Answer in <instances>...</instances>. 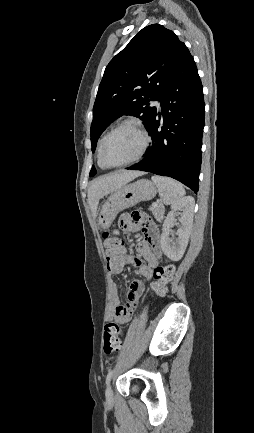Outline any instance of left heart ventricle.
<instances>
[{
	"label": "left heart ventricle",
	"mask_w": 254,
	"mask_h": 433,
	"mask_svg": "<svg viewBox=\"0 0 254 433\" xmlns=\"http://www.w3.org/2000/svg\"><path fill=\"white\" fill-rule=\"evenodd\" d=\"M142 144V136L134 127H122L107 140L103 150L104 160L110 164L124 163L137 155Z\"/></svg>",
	"instance_id": "obj_1"
}]
</instances>
